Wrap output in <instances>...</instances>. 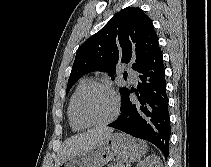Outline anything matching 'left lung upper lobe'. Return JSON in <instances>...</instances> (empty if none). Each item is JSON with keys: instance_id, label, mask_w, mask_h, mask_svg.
Wrapping results in <instances>:
<instances>
[{"instance_id": "1", "label": "left lung upper lobe", "mask_w": 211, "mask_h": 167, "mask_svg": "<svg viewBox=\"0 0 211 167\" xmlns=\"http://www.w3.org/2000/svg\"><path fill=\"white\" fill-rule=\"evenodd\" d=\"M159 47L151 19L137 7H126L77 50L67 84H73L85 73L104 71L114 80L119 62L132 63L137 71ZM123 94L126 87L121 88Z\"/></svg>"}]
</instances>
